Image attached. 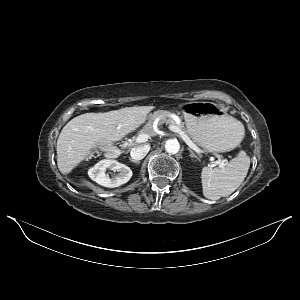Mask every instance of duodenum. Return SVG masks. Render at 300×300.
<instances>
[{"instance_id":"1","label":"duodenum","mask_w":300,"mask_h":300,"mask_svg":"<svg viewBox=\"0 0 300 300\" xmlns=\"http://www.w3.org/2000/svg\"><path fill=\"white\" fill-rule=\"evenodd\" d=\"M108 155L110 158L116 159L121 155V150L119 148L112 149Z\"/></svg>"}]
</instances>
